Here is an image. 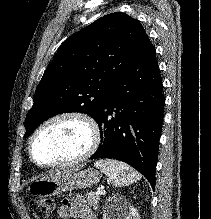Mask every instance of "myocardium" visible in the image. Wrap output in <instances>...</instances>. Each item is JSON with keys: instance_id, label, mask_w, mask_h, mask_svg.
I'll list each match as a JSON object with an SVG mask.
<instances>
[{"instance_id": "obj_1", "label": "myocardium", "mask_w": 211, "mask_h": 219, "mask_svg": "<svg viewBox=\"0 0 211 219\" xmlns=\"http://www.w3.org/2000/svg\"><path fill=\"white\" fill-rule=\"evenodd\" d=\"M61 119H74V120H78L80 122H82L88 129L89 131V143L87 145V147L85 148V150L78 155L77 157L70 159V160H66V161H62V162H56V163H50V164H42L39 163L34 155H33V144L35 139L37 138V136L39 135V133L49 124L61 120ZM100 129L98 124L96 123V121L88 114L83 113V112H79V111H64V112H60L57 113L51 117H49L48 119H46L45 121H43L32 133L29 142H28V146H27V150H28V156L31 160V162L41 168H64V167H71V166H75L78 165L84 161H86L87 159H89L97 150L99 144H100Z\"/></svg>"}]
</instances>
